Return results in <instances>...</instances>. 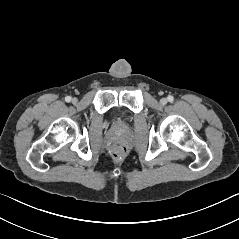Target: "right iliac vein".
I'll list each match as a JSON object with an SVG mask.
<instances>
[{
	"label": "right iliac vein",
	"mask_w": 239,
	"mask_h": 239,
	"mask_svg": "<svg viewBox=\"0 0 239 239\" xmlns=\"http://www.w3.org/2000/svg\"><path fill=\"white\" fill-rule=\"evenodd\" d=\"M77 101H78V99H77V98H73V99H72V103H74V104H76V103H77Z\"/></svg>",
	"instance_id": "obj_1"
}]
</instances>
